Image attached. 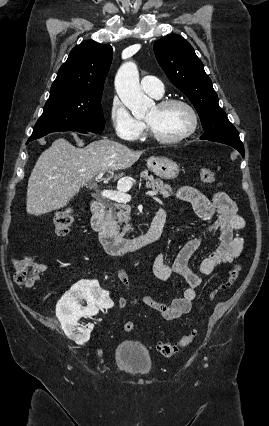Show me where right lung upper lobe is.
<instances>
[{
  "label": "right lung upper lobe",
  "mask_w": 269,
  "mask_h": 426,
  "mask_svg": "<svg viewBox=\"0 0 269 426\" xmlns=\"http://www.w3.org/2000/svg\"><path fill=\"white\" fill-rule=\"evenodd\" d=\"M113 49L108 44L84 41L74 47L60 67L51 93L102 95Z\"/></svg>",
  "instance_id": "right-lung-upper-lobe-1"
}]
</instances>
